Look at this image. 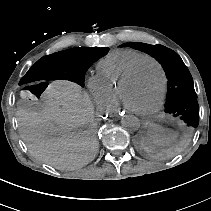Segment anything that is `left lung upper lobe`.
<instances>
[{"instance_id": "obj_1", "label": "left lung upper lobe", "mask_w": 211, "mask_h": 211, "mask_svg": "<svg viewBox=\"0 0 211 211\" xmlns=\"http://www.w3.org/2000/svg\"><path fill=\"white\" fill-rule=\"evenodd\" d=\"M143 51L154 57L164 68L167 76L166 112L181 118L187 126L195 128L199 123V106L192 76L173 50L162 45L129 42L120 45Z\"/></svg>"}]
</instances>
